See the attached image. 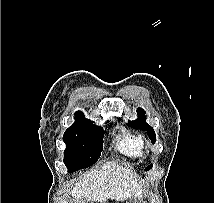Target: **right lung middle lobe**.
Segmentation results:
<instances>
[{"mask_svg":"<svg viewBox=\"0 0 214 203\" xmlns=\"http://www.w3.org/2000/svg\"><path fill=\"white\" fill-rule=\"evenodd\" d=\"M104 131L86 119L82 112L75 113V122L65 131L64 164L68 172L87 168L96 163L103 150Z\"/></svg>","mask_w":214,"mask_h":203,"instance_id":"dd1d6c3e","label":"right lung middle lobe"}]
</instances>
